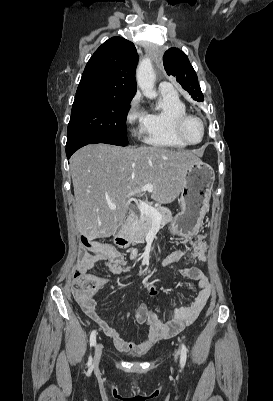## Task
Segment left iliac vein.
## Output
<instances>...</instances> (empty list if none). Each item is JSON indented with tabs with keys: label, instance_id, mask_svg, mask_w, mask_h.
I'll use <instances>...</instances> for the list:
<instances>
[{
	"label": "left iliac vein",
	"instance_id": "left-iliac-vein-1",
	"mask_svg": "<svg viewBox=\"0 0 273 401\" xmlns=\"http://www.w3.org/2000/svg\"><path fill=\"white\" fill-rule=\"evenodd\" d=\"M177 357H178V352H176V354H175V358L177 359Z\"/></svg>",
	"mask_w": 273,
	"mask_h": 401
}]
</instances>
